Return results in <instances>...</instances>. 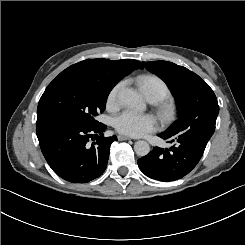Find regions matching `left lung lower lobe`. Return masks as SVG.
<instances>
[{"instance_id":"0a47b994","label":"left lung lower lobe","mask_w":245,"mask_h":245,"mask_svg":"<svg viewBox=\"0 0 245 245\" xmlns=\"http://www.w3.org/2000/svg\"><path fill=\"white\" fill-rule=\"evenodd\" d=\"M217 116L205 112L190 119L183 129L158 134L173 145L169 149L156 147L138 160L140 170L149 178L170 182L189 174L201 159L214 133Z\"/></svg>"}]
</instances>
